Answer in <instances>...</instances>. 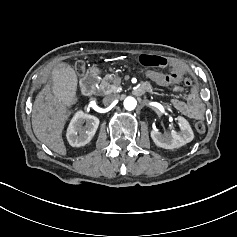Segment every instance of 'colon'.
Here are the masks:
<instances>
[{"mask_svg": "<svg viewBox=\"0 0 237 237\" xmlns=\"http://www.w3.org/2000/svg\"><path fill=\"white\" fill-rule=\"evenodd\" d=\"M139 62L143 67L146 68H163L167 66V59L158 55H141ZM75 69L78 74H82L85 71V64L83 61H77L75 63ZM179 78L177 73H163V76L156 82L160 85H169ZM195 129L198 133H204L206 126L203 122L198 121L195 124Z\"/></svg>", "mask_w": 237, "mask_h": 237, "instance_id": "1", "label": "colon"}]
</instances>
